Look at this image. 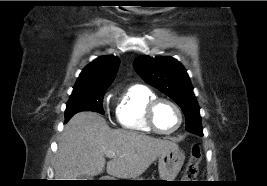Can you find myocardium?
<instances>
[{
    "label": "myocardium",
    "mask_w": 267,
    "mask_h": 186,
    "mask_svg": "<svg viewBox=\"0 0 267 186\" xmlns=\"http://www.w3.org/2000/svg\"><path fill=\"white\" fill-rule=\"evenodd\" d=\"M165 102L170 104L177 112L178 115V123L176 125V127L170 131H163L161 129H159L155 123V119H154V114H155V109L157 107L158 104ZM183 112L180 108V106L173 100L169 99V98H165V97H155L152 100H150L145 108V121L147 123V125L149 126V128L160 135H172L174 133H176L182 126L183 124Z\"/></svg>",
    "instance_id": "1"
}]
</instances>
